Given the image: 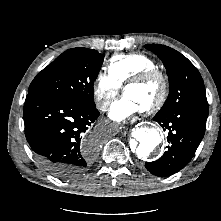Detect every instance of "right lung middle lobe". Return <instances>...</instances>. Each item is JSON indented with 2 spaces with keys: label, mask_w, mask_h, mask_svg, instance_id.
Wrapping results in <instances>:
<instances>
[{
  "label": "right lung middle lobe",
  "mask_w": 221,
  "mask_h": 221,
  "mask_svg": "<svg viewBox=\"0 0 221 221\" xmlns=\"http://www.w3.org/2000/svg\"><path fill=\"white\" fill-rule=\"evenodd\" d=\"M104 55L88 48H73L63 52L32 81V91L51 94L73 103L96 107L93 85Z\"/></svg>",
  "instance_id": "1"
}]
</instances>
